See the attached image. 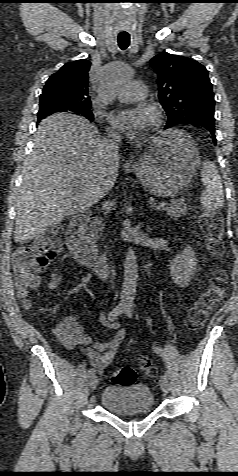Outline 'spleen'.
<instances>
[{
  "label": "spleen",
  "instance_id": "3e777b00",
  "mask_svg": "<svg viewBox=\"0 0 238 476\" xmlns=\"http://www.w3.org/2000/svg\"><path fill=\"white\" fill-rule=\"evenodd\" d=\"M200 175L204 185L201 204L209 211L220 209L224 204V194L222 180L216 165L212 161L206 160Z\"/></svg>",
  "mask_w": 238,
  "mask_h": 476
}]
</instances>
